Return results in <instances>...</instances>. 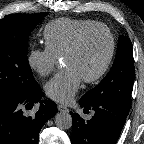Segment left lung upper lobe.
Returning <instances> with one entry per match:
<instances>
[{"mask_svg":"<svg viewBox=\"0 0 144 144\" xmlns=\"http://www.w3.org/2000/svg\"><path fill=\"white\" fill-rule=\"evenodd\" d=\"M134 77L132 43L120 35L111 70L96 87L85 93L80 101L91 105L102 100H112L131 107Z\"/></svg>","mask_w":144,"mask_h":144,"instance_id":"1","label":"left lung upper lobe"}]
</instances>
